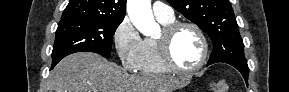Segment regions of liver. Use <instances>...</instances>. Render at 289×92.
<instances>
[{
  "label": "liver",
  "instance_id": "obj_1",
  "mask_svg": "<svg viewBox=\"0 0 289 92\" xmlns=\"http://www.w3.org/2000/svg\"><path fill=\"white\" fill-rule=\"evenodd\" d=\"M187 79L128 74L104 57L78 52L61 60L51 71L45 92H173Z\"/></svg>",
  "mask_w": 289,
  "mask_h": 92
}]
</instances>
